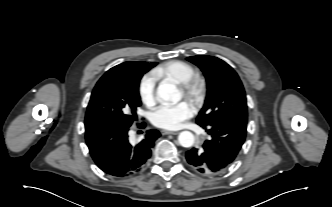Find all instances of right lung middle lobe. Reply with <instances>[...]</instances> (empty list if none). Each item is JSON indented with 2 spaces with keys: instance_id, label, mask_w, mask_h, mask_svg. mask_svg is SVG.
<instances>
[{
  "instance_id": "1",
  "label": "right lung middle lobe",
  "mask_w": 332,
  "mask_h": 207,
  "mask_svg": "<svg viewBox=\"0 0 332 207\" xmlns=\"http://www.w3.org/2000/svg\"><path fill=\"white\" fill-rule=\"evenodd\" d=\"M157 63L131 62L108 70L97 82L87 107L85 133L107 128H129L141 105L139 83Z\"/></svg>"
}]
</instances>
